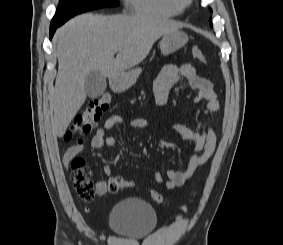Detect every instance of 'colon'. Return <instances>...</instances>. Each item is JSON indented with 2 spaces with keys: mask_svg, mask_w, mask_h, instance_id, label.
Instances as JSON below:
<instances>
[{
  "mask_svg": "<svg viewBox=\"0 0 283 245\" xmlns=\"http://www.w3.org/2000/svg\"><path fill=\"white\" fill-rule=\"evenodd\" d=\"M192 55L199 62L206 63V58L199 47L192 48ZM110 105L111 98L107 95L92 101L74 117L70 129L65 135V139L70 141L78 136L91 132V130L99 122L102 115L110 109ZM83 166V159H74L71 163V167L73 169L71 177L73 187L77 195L83 201H90L95 195V185L94 182L83 172ZM131 184L132 183L130 181L122 177H112L108 180V192L116 193L121 189L131 186ZM149 195L151 199L158 204H162L164 202L163 196L155 190L149 191ZM182 209L186 211L187 207L183 206Z\"/></svg>",
  "mask_w": 283,
  "mask_h": 245,
  "instance_id": "1",
  "label": "colon"
}]
</instances>
